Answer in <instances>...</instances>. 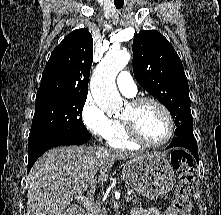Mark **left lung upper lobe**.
Segmentation results:
<instances>
[{
	"mask_svg": "<svg viewBox=\"0 0 221 215\" xmlns=\"http://www.w3.org/2000/svg\"><path fill=\"white\" fill-rule=\"evenodd\" d=\"M133 72L137 82L171 113L177 137L194 136L188 81L172 45L156 30L135 35Z\"/></svg>",
	"mask_w": 221,
	"mask_h": 215,
	"instance_id": "5c2ea615",
	"label": "left lung upper lobe"
}]
</instances>
